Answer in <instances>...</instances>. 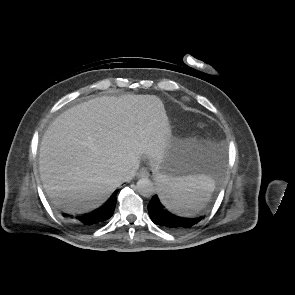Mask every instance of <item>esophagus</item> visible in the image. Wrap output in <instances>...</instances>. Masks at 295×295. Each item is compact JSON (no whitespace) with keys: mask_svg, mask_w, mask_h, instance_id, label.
Masks as SVG:
<instances>
[{"mask_svg":"<svg viewBox=\"0 0 295 295\" xmlns=\"http://www.w3.org/2000/svg\"><path fill=\"white\" fill-rule=\"evenodd\" d=\"M138 177H148L149 176V171L146 168H141L138 173Z\"/></svg>","mask_w":295,"mask_h":295,"instance_id":"1","label":"esophagus"}]
</instances>
